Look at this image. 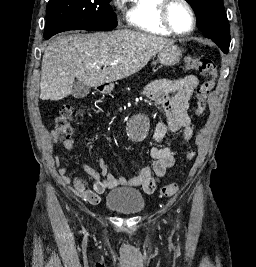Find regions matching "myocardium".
Listing matches in <instances>:
<instances>
[{
    "instance_id": "1",
    "label": "myocardium",
    "mask_w": 256,
    "mask_h": 267,
    "mask_svg": "<svg viewBox=\"0 0 256 267\" xmlns=\"http://www.w3.org/2000/svg\"><path fill=\"white\" fill-rule=\"evenodd\" d=\"M173 2H177L181 5H183L190 13L191 15V20H192V25H191V29L188 32L185 33H181L178 32L173 25L171 24V21L169 19V8L170 5ZM159 20L161 22V24L168 30L170 31L173 35L179 36V37H187L190 36L195 28H196V15L193 11V9L191 8V6L185 1V0H164V3L162 4V8L159 14Z\"/></svg>"
}]
</instances>
